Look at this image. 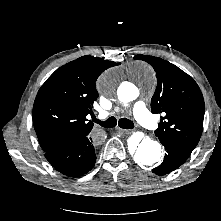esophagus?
Masks as SVG:
<instances>
[{"label": "esophagus", "instance_id": "obj_1", "mask_svg": "<svg viewBox=\"0 0 221 221\" xmlns=\"http://www.w3.org/2000/svg\"><path fill=\"white\" fill-rule=\"evenodd\" d=\"M120 132L124 133V134H129L130 130H126V129H122V128H117Z\"/></svg>", "mask_w": 221, "mask_h": 221}]
</instances>
